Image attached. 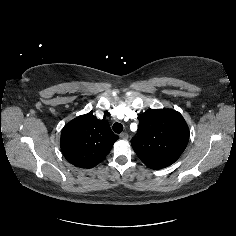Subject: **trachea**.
Wrapping results in <instances>:
<instances>
[{
  "label": "trachea",
  "mask_w": 236,
  "mask_h": 236,
  "mask_svg": "<svg viewBox=\"0 0 236 236\" xmlns=\"http://www.w3.org/2000/svg\"><path fill=\"white\" fill-rule=\"evenodd\" d=\"M112 128H113V131L117 134H119L123 131V125L118 122L114 123Z\"/></svg>",
  "instance_id": "trachea-1"
}]
</instances>
